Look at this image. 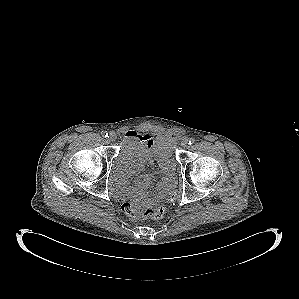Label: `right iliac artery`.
I'll use <instances>...</instances> for the list:
<instances>
[{"instance_id":"obj_1","label":"right iliac artery","mask_w":299,"mask_h":299,"mask_svg":"<svg viewBox=\"0 0 299 299\" xmlns=\"http://www.w3.org/2000/svg\"><path fill=\"white\" fill-rule=\"evenodd\" d=\"M103 137H108V133L106 131L102 132Z\"/></svg>"}]
</instances>
